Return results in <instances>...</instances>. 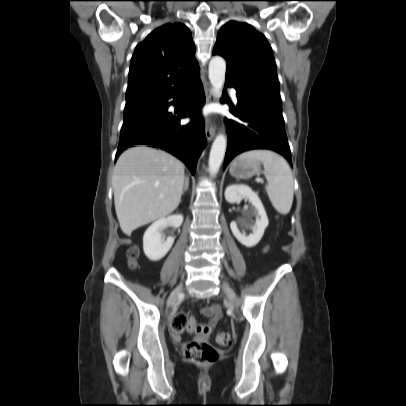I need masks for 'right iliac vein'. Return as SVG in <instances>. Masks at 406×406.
<instances>
[{
	"label": "right iliac vein",
	"mask_w": 406,
	"mask_h": 406,
	"mask_svg": "<svg viewBox=\"0 0 406 406\" xmlns=\"http://www.w3.org/2000/svg\"><path fill=\"white\" fill-rule=\"evenodd\" d=\"M182 285H178L170 294L168 300H167V305L170 306L174 303V301L177 299V297L180 295L182 292Z\"/></svg>",
	"instance_id": "right-iliac-vein-1"
}]
</instances>
